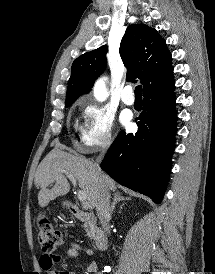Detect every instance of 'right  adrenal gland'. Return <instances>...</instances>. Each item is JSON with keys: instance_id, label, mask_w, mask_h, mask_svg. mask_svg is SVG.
<instances>
[{"instance_id": "1", "label": "right adrenal gland", "mask_w": 215, "mask_h": 274, "mask_svg": "<svg viewBox=\"0 0 215 274\" xmlns=\"http://www.w3.org/2000/svg\"><path fill=\"white\" fill-rule=\"evenodd\" d=\"M129 200V198H124L119 192L114 193L113 203L111 205V214H113L115 205L120 201Z\"/></svg>"}]
</instances>
